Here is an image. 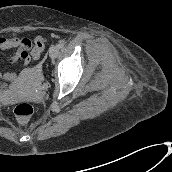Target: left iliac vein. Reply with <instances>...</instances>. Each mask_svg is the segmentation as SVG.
Wrapping results in <instances>:
<instances>
[{"label":"left iliac vein","mask_w":172,"mask_h":172,"mask_svg":"<svg viewBox=\"0 0 172 172\" xmlns=\"http://www.w3.org/2000/svg\"><path fill=\"white\" fill-rule=\"evenodd\" d=\"M59 53V48L56 45H52L49 48V55L51 58H55Z\"/></svg>","instance_id":"left-iliac-vein-1"}]
</instances>
